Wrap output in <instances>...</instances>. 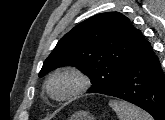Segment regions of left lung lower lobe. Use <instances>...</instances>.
I'll return each mask as SVG.
<instances>
[{
	"instance_id": "left-lung-lower-lobe-1",
	"label": "left lung lower lobe",
	"mask_w": 165,
	"mask_h": 120,
	"mask_svg": "<svg viewBox=\"0 0 165 120\" xmlns=\"http://www.w3.org/2000/svg\"><path fill=\"white\" fill-rule=\"evenodd\" d=\"M107 95L141 107L155 120H165V74L144 37L131 53L120 85Z\"/></svg>"
}]
</instances>
